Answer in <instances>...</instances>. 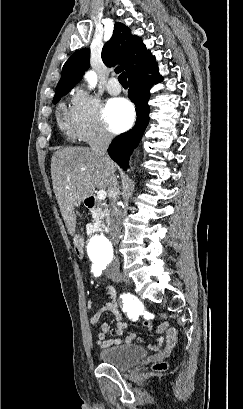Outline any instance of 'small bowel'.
<instances>
[{"mask_svg": "<svg viewBox=\"0 0 243 409\" xmlns=\"http://www.w3.org/2000/svg\"><path fill=\"white\" fill-rule=\"evenodd\" d=\"M105 294L108 298V301L94 312L93 316L90 319V324L92 326L98 325L104 313H111L116 321V333L119 336H122L126 331L127 323L123 319V316L119 310L117 295L111 288L106 289ZM87 309L90 311L93 309L92 301H88ZM125 311L127 312L129 318L133 320H136L140 313L139 308L131 300L126 302ZM143 326L159 335L157 342L149 344L150 349L158 351L163 355H169L177 346L178 332L175 328L171 327L168 322H162L154 329L151 322L149 320H146L144 321ZM109 333V324H101L100 331L96 339V343L98 346H100L101 348H107L121 344H129L134 340H141V338L136 333H131L130 335L123 338H107ZM163 333H165V337L161 336Z\"/></svg>", "mask_w": 243, "mask_h": 409, "instance_id": "1", "label": "small bowel"}]
</instances>
